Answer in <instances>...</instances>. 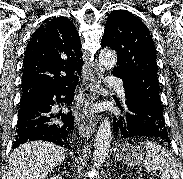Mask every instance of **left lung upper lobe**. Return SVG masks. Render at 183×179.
<instances>
[{
    "label": "left lung upper lobe",
    "instance_id": "5c2ea615",
    "mask_svg": "<svg viewBox=\"0 0 183 179\" xmlns=\"http://www.w3.org/2000/svg\"><path fill=\"white\" fill-rule=\"evenodd\" d=\"M117 52V66L111 74L123 80L126 93L163 120L159 96L156 50L150 31L132 13L113 11L105 25L102 48Z\"/></svg>",
    "mask_w": 183,
    "mask_h": 179
}]
</instances>
